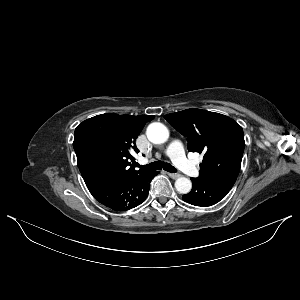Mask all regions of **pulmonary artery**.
Masks as SVG:
<instances>
[{"instance_id":"1","label":"pulmonary artery","mask_w":300,"mask_h":300,"mask_svg":"<svg viewBox=\"0 0 300 300\" xmlns=\"http://www.w3.org/2000/svg\"><path fill=\"white\" fill-rule=\"evenodd\" d=\"M167 155L171 158L173 163L187 175L195 177L199 174L198 167L186 158L183 144L180 141H173L169 144Z\"/></svg>"}]
</instances>
